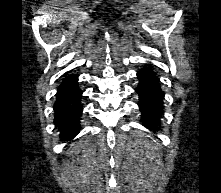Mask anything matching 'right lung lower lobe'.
Returning a JSON list of instances; mask_svg holds the SVG:
<instances>
[{
    "instance_id": "obj_1",
    "label": "right lung lower lobe",
    "mask_w": 221,
    "mask_h": 193,
    "mask_svg": "<svg viewBox=\"0 0 221 193\" xmlns=\"http://www.w3.org/2000/svg\"><path fill=\"white\" fill-rule=\"evenodd\" d=\"M82 91L76 75H65L59 85L54 103V123L60 131L62 141L71 140L79 133Z\"/></svg>"
}]
</instances>
